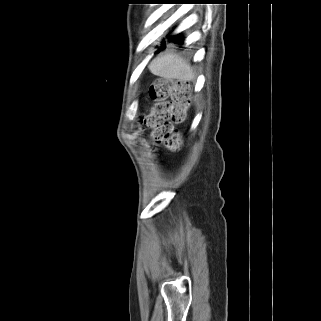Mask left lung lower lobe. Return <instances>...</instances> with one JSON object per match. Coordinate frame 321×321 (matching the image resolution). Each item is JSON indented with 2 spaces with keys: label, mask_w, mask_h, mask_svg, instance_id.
I'll return each mask as SVG.
<instances>
[{
  "label": "left lung lower lobe",
  "mask_w": 321,
  "mask_h": 321,
  "mask_svg": "<svg viewBox=\"0 0 321 321\" xmlns=\"http://www.w3.org/2000/svg\"><path fill=\"white\" fill-rule=\"evenodd\" d=\"M169 40L177 44H182L181 42L182 37L180 34L169 37ZM164 48H165V42H163V44L161 45V48L158 51L163 50Z\"/></svg>",
  "instance_id": "1"
}]
</instances>
